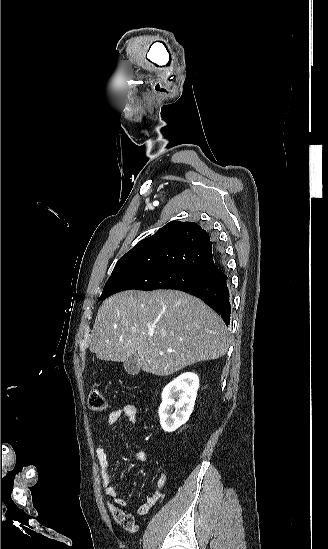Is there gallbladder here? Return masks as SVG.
<instances>
[{"instance_id":"obj_1","label":"gallbladder","mask_w":328,"mask_h":549,"mask_svg":"<svg viewBox=\"0 0 328 549\" xmlns=\"http://www.w3.org/2000/svg\"><path fill=\"white\" fill-rule=\"evenodd\" d=\"M139 357L137 353L131 355L127 361L124 363V369L128 375H138L140 373V365L138 361Z\"/></svg>"}]
</instances>
